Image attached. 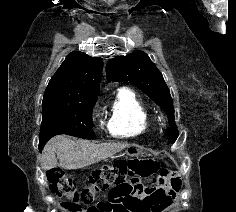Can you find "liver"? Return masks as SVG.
<instances>
[{
  "mask_svg": "<svg viewBox=\"0 0 236 212\" xmlns=\"http://www.w3.org/2000/svg\"><path fill=\"white\" fill-rule=\"evenodd\" d=\"M126 147H128V144H95L88 140L79 139L74 141L66 135H59L53 137L45 145L41 157L42 167L44 170L57 166L69 170L80 169L111 157Z\"/></svg>",
  "mask_w": 236,
  "mask_h": 212,
  "instance_id": "1",
  "label": "liver"
}]
</instances>
